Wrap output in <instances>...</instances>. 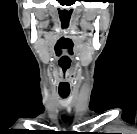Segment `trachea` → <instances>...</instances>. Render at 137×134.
I'll return each mask as SVG.
<instances>
[{
  "label": "trachea",
  "instance_id": "obj_1",
  "mask_svg": "<svg viewBox=\"0 0 137 134\" xmlns=\"http://www.w3.org/2000/svg\"><path fill=\"white\" fill-rule=\"evenodd\" d=\"M60 96H61L62 98H66V97L68 96V94H60Z\"/></svg>",
  "mask_w": 137,
  "mask_h": 134
}]
</instances>
